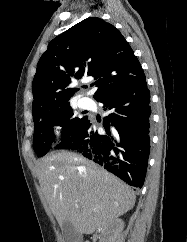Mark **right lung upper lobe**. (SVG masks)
I'll return each instance as SVG.
<instances>
[{"instance_id":"right-lung-upper-lobe-1","label":"right lung upper lobe","mask_w":187,"mask_h":242,"mask_svg":"<svg viewBox=\"0 0 187 242\" xmlns=\"http://www.w3.org/2000/svg\"><path fill=\"white\" fill-rule=\"evenodd\" d=\"M93 77L101 96L145 78L129 43L111 24L87 18L54 38L41 56L33 80V116L69 104L74 79Z\"/></svg>"}]
</instances>
